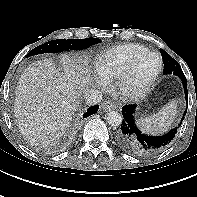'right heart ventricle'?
I'll use <instances>...</instances> for the list:
<instances>
[{
	"label": "right heart ventricle",
	"mask_w": 197,
	"mask_h": 197,
	"mask_svg": "<svg viewBox=\"0 0 197 197\" xmlns=\"http://www.w3.org/2000/svg\"><path fill=\"white\" fill-rule=\"evenodd\" d=\"M148 51V48L140 44L119 45L100 52L95 59V67L103 79L116 80L137 56Z\"/></svg>",
	"instance_id": "1"
}]
</instances>
